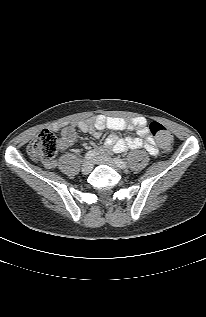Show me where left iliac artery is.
<instances>
[{
	"mask_svg": "<svg viewBox=\"0 0 206 317\" xmlns=\"http://www.w3.org/2000/svg\"><path fill=\"white\" fill-rule=\"evenodd\" d=\"M114 161L116 162L117 166L120 167L121 169H124L127 167L126 162H124L122 159L120 158H114Z\"/></svg>",
	"mask_w": 206,
	"mask_h": 317,
	"instance_id": "left-iliac-artery-1",
	"label": "left iliac artery"
}]
</instances>
